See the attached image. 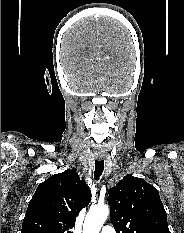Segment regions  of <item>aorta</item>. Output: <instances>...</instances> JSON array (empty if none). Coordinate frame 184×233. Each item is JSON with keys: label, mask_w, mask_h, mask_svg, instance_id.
I'll list each match as a JSON object with an SVG mask.
<instances>
[{"label": "aorta", "mask_w": 184, "mask_h": 233, "mask_svg": "<svg viewBox=\"0 0 184 233\" xmlns=\"http://www.w3.org/2000/svg\"><path fill=\"white\" fill-rule=\"evenodd\" d=\"M108 214L109 207L106 204L90 209L84 221L83 233H99Z\"/></svg>", "instance_id": "762f6f07"}]
</instances>
